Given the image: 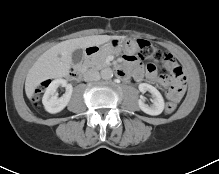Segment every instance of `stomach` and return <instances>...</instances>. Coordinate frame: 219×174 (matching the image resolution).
Wrapping results in <instances>:
<instances>
[{"label":"stomach","mask_w":219,"mask_h":174,"mask_svg":"<svg viewBox=\"0 0 219 174\" xmlns=\"http://www.w3.org/2000/svg\"><path fill=\"white\" fill-rule=\"evenodd\" d=\"M98 47L100 52H125L129 54H134L138 51V44L135 40L124 38V39H112L107 44Z\"/></svg>","instance_id":"stomach-1"}]
</instances>
